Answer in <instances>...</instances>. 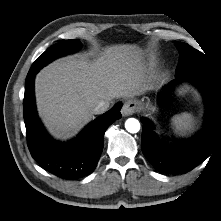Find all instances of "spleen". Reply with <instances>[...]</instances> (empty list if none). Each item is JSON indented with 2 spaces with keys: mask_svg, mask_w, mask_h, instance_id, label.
<instances>
[{
  "mask_svg": "<svg viewBox=\"0 0 221 221\" xmlns=\"http://www.w3.org/2000/svg\"><path fill=\"white\" fill-rule=\"evenodd\" d=\"M171 125L176 133L184 134L194 128L195 120L190 113L183 112L173 116Z\"/></svg>",
  "mask_w": 221,
  "mask_h": 221,
  "instance_id": "obj_1",
  "label": "spleen"
}]
</instances>
